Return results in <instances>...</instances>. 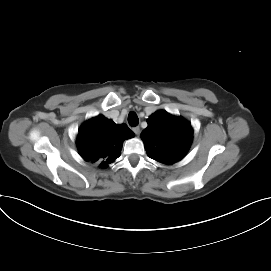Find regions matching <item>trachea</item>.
<instances>
[{"instance_id": "obj_1", "label": "trachea", "mask_w": 271, "mask_h": 271, "mask_svg": "<svg viewBox=\"0 0 271 271\" xmlns=\"http://www.w3.org/2000/svg\"><path fill=\"white\" fill-rule=\"evenodd\" d=\"M128 122L132 127H135L139 123V119L135 112H130L128 115Z\"/></svg>"}]
</instances>
